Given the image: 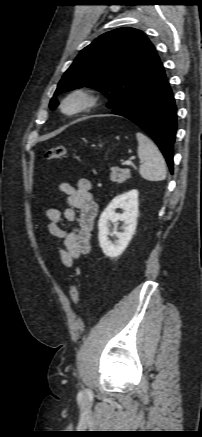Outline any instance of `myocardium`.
<instances>
[{
	"instance_id": "obj_1",
	"label": "myocardium",
	"mask_w": 202,
	"mask_h": 437,
	"mask_svg": "<svg viewBox=\"0 0 202 437\" xmlns=\"http://www.w3.org/2000/svg\"><path fill=\"white\" fill-rule=\"evenodd\" d=\"M98 97L86 88H76L68 92L60 102V111L69 117L77 116L95 107Z\"/></svg>"
}]
</instances>
